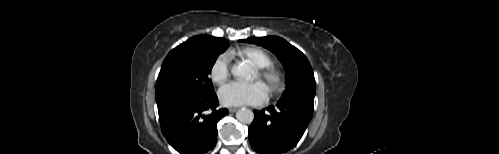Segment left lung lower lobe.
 <instances>
[{"instance_id": "obj_1", "label": "left lung lower lobe", "mask_w": 499, "mask_h": 154, "mask_svg": "<svg viewBox=\"0 0 499 154\" xmlns=\"http://www.w3.org/2000/svg\"><path fill=\"white\" fill-rule=\"evenodd\" d=\"M312 94H293L280 99L266 111H254L249 142L261 154H280L293 148L302 137L313 114Z\"/></svg>"}]
</instances>
